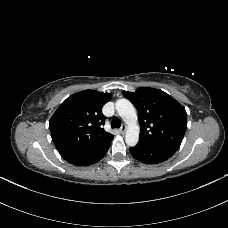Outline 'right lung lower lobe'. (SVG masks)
<instances>
[{
    "mask_svg": "<svg viewBox=\"0 0 228 228\" xmlns=\"http://www.w3.org/2000/svg\"><path fill=\"white\" fill-rule=\"evenodd\" d=\"M111 141L112 140L107 141L104 144L96 148H93L91 150H88L82 153L72 154L63 158L67 162L77 166H86V165L94 164L105 156V154L109 149Z\"/></svg>",
    "mask_w": 228,
    "mask_h": 228,
    "instance_id": "1",
    "label": "right lung lower lobe"
}]
</instances>
